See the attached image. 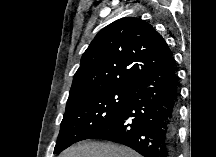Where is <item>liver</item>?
Returning a JSON list of instances; mask_svg holds the SVG:
<instances>
[{
	"label": "liver",
	"instance_id": "6515ba94",
	"mask_svg": "<svg viewBox=\"0 0 216 157\" xmlns=\"http://www.w3.org/2000/svg\"><path fill=\"white\" fill-rule=\"evenodd\" d=\"M60 157H140L134 150L110 142H87L70 147Z\"/></svg>",
	"mask_w": 216,
	"mask_h": 157
}]
</instances>
